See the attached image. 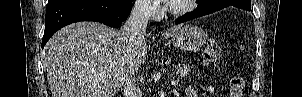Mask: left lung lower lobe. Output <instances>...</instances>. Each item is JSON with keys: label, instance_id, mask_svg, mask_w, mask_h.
<instances>
[{"label": "left lung lower lobe", "instance_id": "left-lung-lower-lobe-1", "mask_svg": "<svg viewBox=\"0 0 302 97\" xmlns=\"http://www.w3.org/2000/svg\"><path fill=\"white\" fill-rule=\"evenodd\" d=\"M229 6L238 7L244 10H251V1L250 0H240L239 4H231ZM228 7V6H227ZM225 7L217 5L215 0H207V1H200L198 3L197 8L189 12L178 19H176L175 23L180 24L210 13H213L215 11L221 10Z\"/></svg>", "mask_w": 302, "mask_h": 97}]
</instances>
